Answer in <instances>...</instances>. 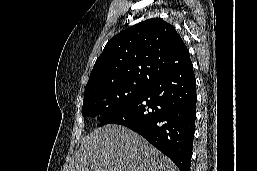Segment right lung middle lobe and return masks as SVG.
<instances>
[{
  "label": "right lung middle lobe",
  "mask_w": 257,
  "mask_h": 171,
  "mask_svg": "<svg viewBox=\"0 0 257 171\" xmlns=\"http://www.w3.org/2000/svg\"><path fill=\"white\" fill-rule=\"evenodd\" d=\"M147 83H117L95 88L84 93L82 114L98 116L100 125L124 110L147 88Z\"/></svg>",
  "instance_id": "dd1d6c3e"
}]
</instances>
